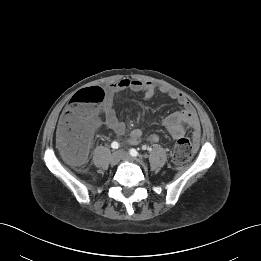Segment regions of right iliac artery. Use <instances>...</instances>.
Wrapping results in <instances>:
<instances>
[{"instance_id": "obj_1", "label": "right iliac artery", "mask_w": 261, "mask_h": 261, "mask_svg": "<svg viewBox=\"0 0 261 261\" xmlns=\"http://www.w3.org/2000/svg\"><path fill=\"white\" fill-rule=\"evenodd\" d=\"M111 147H112L113 149H118L119 144H118L116 141H114V142H112Z\"/></svg>"}]
</instances>
